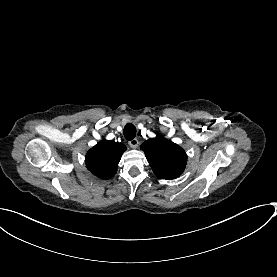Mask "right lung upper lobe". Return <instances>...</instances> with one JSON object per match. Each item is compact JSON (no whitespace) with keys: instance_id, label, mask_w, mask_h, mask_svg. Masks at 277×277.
<instances>
[{"instance_id":"right-lung-upper-lobe-1","label":"right lung upper lobe","mask_w":277,"mask_h":277,"mask_svg":"<svg viewBox=\"0 0 277 277\" xmlns=\"http://www.w3.org/2000/svg\"><path fill=\"white\" fill-rule=\"evenodd\" d=\"M125 150L124 144L103 139L86 155L88 170L99 178H111L116 174L117 165Z\"/></svg>"}]
</instances>
